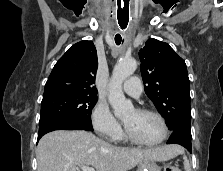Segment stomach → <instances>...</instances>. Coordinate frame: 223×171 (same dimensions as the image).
Returning a JSON list of instances; mask_svg holds the SVG:
<instances>
[{"mask_svg": "<svg viewBox=\"0 0 223 171\" xmlns=\"http://www.w3.org/2000/svg\"><path fill=\"white\" fill-rule=\"evenodd\" d=\"M137 171H161V169L155 161L146 160L138 165Z\"/></svg>", "mask_w": 223, "mask_h": 171, "instance_id": "stomach-1", "label": "stomach"}]
</instances>
